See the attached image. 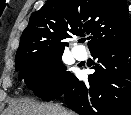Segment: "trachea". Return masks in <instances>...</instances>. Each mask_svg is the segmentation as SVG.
<instances>
[{
	"instance_id": "3493384b",
	"label": "trachea",
	"mask_w": 131,
	"mask_h": 115,
	"mask_svg": "<svg viewBox=\"0 0 131 115\" xmlns=\"http://www.w3.org/2000/svg\"><path fill=\"white\" fill-rule=\"evenodd\" d=\"M85 41V39H82V41L81 42H84Z\"/></svg>"
}]
</instances>
